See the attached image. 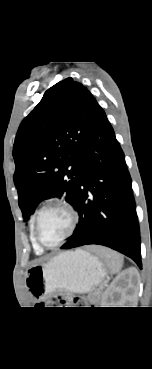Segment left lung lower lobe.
Here are the masks:
<instances>
[{
    "label": "left lung lower lobe",
    "mask_w": 152,
    "mask_h": 369,
    "mask_svg": "<svg viewBox=\"0 0 152 369\" xmlns=\"http://www.w3.org/2000/svg\"><path fill=\"white\" fill-rule=\"evenodd\" d=\"M75 209L79 223L61 249L97 244L133 259L141 268L140 230L124 153L100 107L81 156Z\"/></svg>",
    "instance_id": "obj_1"
}]
</instances>
